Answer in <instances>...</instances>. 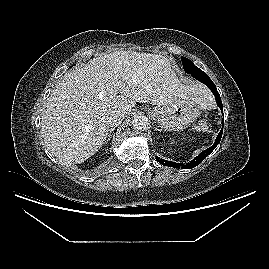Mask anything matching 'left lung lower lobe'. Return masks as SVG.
<instances>
[{"mask_svg":"<svg viewBox=\"0 0 269 269\" xmlns=\"http://www.w3.org/2000/svg\"><path fill=\"white\" fill-rule=\"evenodd\" d=\"M193 78H196L197 80H199L200 82L204 83L214 94L215 99H216V103L217 105L220 107L222 113H223V105H222V101L220 98V95L216 89L215 84L212 82V80L208 77V75L203 72V71H197L195 73L190 74ZM223 123V120H222ZM222 133H223V128L222 130L219 132L215 143L208 149H206L205 151L201 152L196 158H194L191 162L186 163V164H182V163H175V162H171V161H167V160H163L159 157H157V161L165 166H170V167H174V168H183V169H191L196 167L199 163H201L208 155H210L212 153V151L216 148V146L219 144L221 137H222Z\"/></svg>","mask_w":269,"mask_h":269,"instance_id":"1","label":"left lung lower lobe"}]
</instances>
